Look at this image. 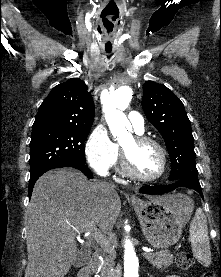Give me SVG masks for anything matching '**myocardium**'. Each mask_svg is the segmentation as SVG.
Masks as SVG:
<instances>
[{"label":"myocardium","instance_id":"1","mask_svg":"<svg viewBox=\"0 0 221 277\" xmlns=\"http://www.w3.org/2000/svg\"><path fill=\"white\" fill-rule=\"evenodd\" d=\"M133 141L136 146H142V145H147V144L155 146L161 156V168L155 176L145 177V176L140 175L132 166L129 152L121 146L120 147V164H121V168H122L123 172L126 175H128L136 180L142 181V182H154V181L159 180L164 175L166 168H167V153H166L165 149L157 140H155L151 137H148V136L136 135L133 137Z\"/></svg>","mask_w":221,"mask_h":277}]
</instances>
